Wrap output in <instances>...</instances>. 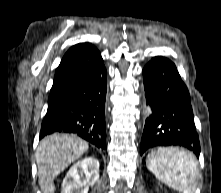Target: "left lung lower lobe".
<instances>
[{"instance_id": "obj_1", "label": "left lung lower lobe", "mask_w": 221, "mask_h": 193, "mask_svg": "<svg viewBox=\"0 0 221 193\" xmlns=\"http://www.w3.org/2000/svg\"><path fill=\"white\" fill-rule=\"evenodd\" d=\"M146 101L152 109L140 144V154L157 146H182L200 154L199 136L194 124L191 99L174 63L164 57L153 58L143 69ZM170 106L176 112L169 126L162 111Z\"/></svg>"}]
</instances>
